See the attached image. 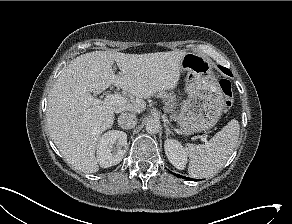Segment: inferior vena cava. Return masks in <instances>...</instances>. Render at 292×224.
<instances>
[{
    "instance_id": "602c4592",
    "label": "inferior vena cava",
    "mask_w": 292,
    "mask_h": 224,
    "mask_svg": "<svg viewBox=\"0 0 292 224\" xmlns=\"http://www.w3.org/2000/svg\"><path fill=\"white\" fill-rule=\"evenodd\" d=\"M118 124L123 129H131L137 124V118L131 113H122L118 117Z\"/></svg>"
}]
</instances>
